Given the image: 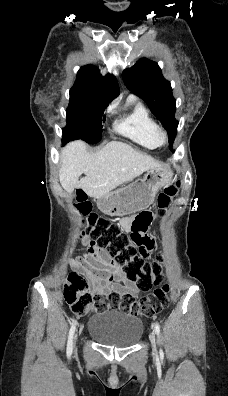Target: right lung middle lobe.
I'll use <instances>...</instances> for the list:
<instances>
[{"label":"right lung middle lobe","instance_id":"1","mask_svg":"<svg viewBox=\"0 0 228 396\" xmlns=\"http://www.w3.org/2000/svg\"><path fill=\"white\" fill-rule=\"evenodd\" d=\"M98 96L70 91V103L66 110L67 126L63 131V144L75 139H82L90 144L99 142L102 138V117L108 106Z\"/></svg>","mask_w":228,"mask_h":396}]
</instances>
